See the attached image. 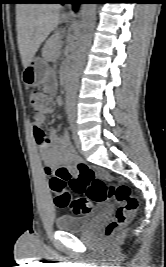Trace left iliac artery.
<instances>
[{
    "label": "left iliac artery",
    "mask_w": 166,
    "mask_h": 267,
    "mask_svg": "<svg viewBox=\"0 0 166 267\" xmlns=\"http://www.w3.org/2000/svg\"><path fill=\"white\" fill-rule=\"evenodd\" d=\"M68 121H69L70 129L73 130L75 127V115H74V113L71 112L68 114Z\"/></svg>",
    "instance_id": "left-iliac-artery-1"
}]
</instances>
